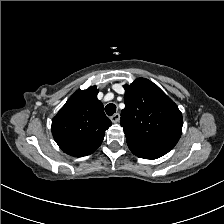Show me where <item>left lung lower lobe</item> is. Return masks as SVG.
Wrapping results in <instances>:
<instances>
[{
  "label": "left lung lower lobe",
  "mask_w": 224,
  "mask_h": 224,
  "mask_svg": "<svg viewBox=\"0 0 224 224\" xmlns=\"http://www.w3.org/2000/svg\"><path fill=\"white\" fill-rule=\"evenodd\" d=\"M133 154H135L136 156L140 157V158H144V159H157L159 157L156 156H151V155H147V154H143V153H139V152H135L132 151Z\"/></svg>",
  "instance_id": "obj_1"
}]
</instances>
